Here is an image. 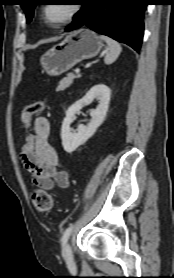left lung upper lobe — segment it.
<instances>
[{
    "label": "left lung upper lobe",
    "instance_id": "1",
    "mask_svg": "<svg viewBox=\"0 0 174 278\" xmlns=\"http://www.w3.org/2000/svg\"><path fill=\"white\" fill-rule=\"evenodd\" d=\"M80 5L83 4L85 0H77ZM39 0H22L21 7L26 13L27 23H30L34 15V8L38 4Z\"/></svg>",
    "mask_w": 174,
    "mask_h": 278
}]
</instances>
